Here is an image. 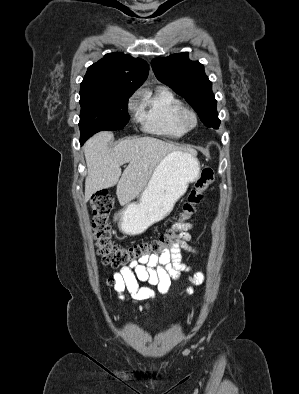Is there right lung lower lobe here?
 Returning <instances> with one entry per match:
<instances>
[{
    "label": "right lung lower lobe",
    "mask_w": 299,
    "mask_h": 394,
    "mask_svg": "<svg viewBox=\"0 0 299 394\" xmlns=\"http://www.w3.org/2000/svg\"><path fill=\"white\" fill-rule=\"evenodd\" d=\"M84 142H85V140H83V139L80 140V143H81V144H83Z\"/></svg>",
    "instance_id": "obj_1"
}]
</instances>
